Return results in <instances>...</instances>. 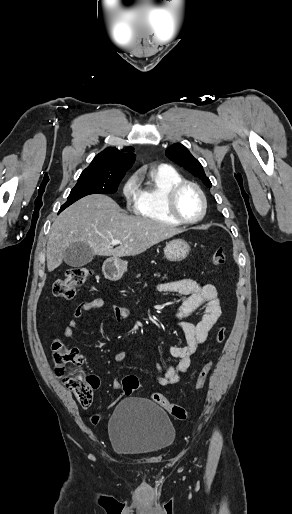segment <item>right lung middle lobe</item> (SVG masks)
<instances>
[{
  "mask_svg": "<svg viewBox=\"0 0 292 514\" xmlns=\"http://www.w3.org/2000/svg\"><path fill=\"white\" fill-rule=\"evenodd\" d=\"M121 180L122 178H104L80 175L78 182L71 190L66 203L61 206L60 212L86 195L115 193Z\"/></svg>",
  "mask_w": 292,
  "mask_h": 514,
  "instance_id": "right-lung-middle-lobe-1",
  "label": "right lung middle lobe"
}]
</instances>
